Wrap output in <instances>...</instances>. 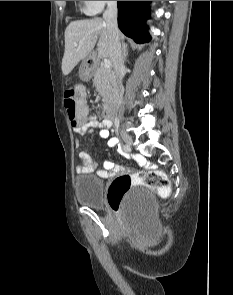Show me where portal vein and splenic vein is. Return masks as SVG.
Listing matches in <instances>:
<instances>
[{
  "label": "portal vein and splenic vein",
  "mask_w": 233,
  "mask_h": 295,
  "mask_svg": "<svg viewBox=\"0 0 233 295\" xmlns=\"http://www.w3.org/2000/svg\"><path fill=\"white\" fill-rule=\"evenodd\" d=\"M75 46H77V44H76ZM103 67H104L105 69H110V67H111V62H110V60H108V59H104V60H103Z\"/></svg>",
  "instance_id": "18ae733b"
}]
</instances>
